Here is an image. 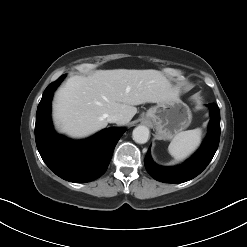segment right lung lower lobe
<instances>
[{"instance_id": "98d812e1", "label": "right lung lower lobe", "mask_w": 247, "mask_h": 247, "mask_svg": "<svg viewBox=\"0 0 247 247\" xmlns=\"http://www.w3.org/2000/svg\"><path fill=\"white\" fill-rule=\"evenodd\" d=\"M65 76L51 83L43 93L36 113V145L43 161L56 175L70 182H90L104 174L115 145L126 129H105L83 141L57 135L51 124L50 103Z\"/></svg>"}]
</instances>
